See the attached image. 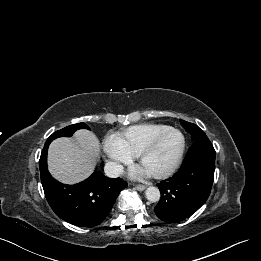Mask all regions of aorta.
Returning <instances> with one entry per match:
<instances>
[{
    "label": "aorta",
    "mask_w": 261,
    "mask_h": 261,
    "mask_svg": "<svg viewBox=\"0 0 261 261\" xmlns=\"http://www.w3.org/2000/svg\"><path fill=\"white\" fill-rule=\"evenodd\" d=\"M146 198L150 202H158L160 200V191L157 187L150 186L145 191Z\"/></svg>",
    "instance_id": "obj_1"
}]
</instances>
